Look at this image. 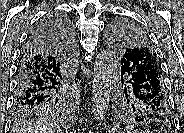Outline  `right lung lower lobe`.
Wrapping results in <instances>:
<instances>
[{"label": "right lung lower lobe", "mask_w": 184, "mask_h": 133, "mask_svg": "<svg viewBox=\"0 0 184 133\" xmlns=\"http://www.w3.org/2000/svg\"><path fill=\"white\" fill-rule=\"evenodd\" d=\"M72 24L60 13L44 17L31 33L17 70L15 104L37 105L67 95V64L74 49Z\"/></svg>", "instance_id": "1"}]
</instances>
